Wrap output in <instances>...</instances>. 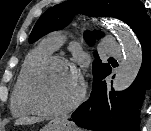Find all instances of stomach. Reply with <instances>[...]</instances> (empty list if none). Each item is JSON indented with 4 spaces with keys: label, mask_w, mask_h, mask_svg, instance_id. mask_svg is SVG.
I'll return each mask as SVG.
<instances>
[{
    "label": "stomach",
    "mask_w": 151,
    "mask_h": 131,
    "mask_svg": "<svg viewBox=\"0 0 151 131\" xmlns=\"http://www.w3.org/2000/svg\"><path fill=\"white\" fill-rule=\"evenodd\" d=\"M41 131H78L71 122L62 119L50 121Z\"/></svg>",
    "instance_id": "0dacf381"
}]
</instances>
